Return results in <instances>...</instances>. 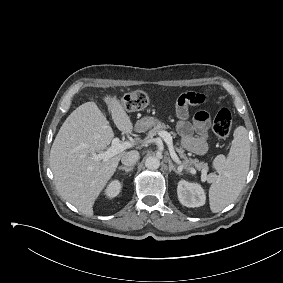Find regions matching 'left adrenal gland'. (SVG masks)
Returning <instances> with one entry per match:
<instances>
[{
  "instance_id": "obj_1",
  "label": "left adrenal gland",
  "mask_w": 283,
  "mask_h": 283,
  "mask_svg": "<svg viewBox=\"0 0 283 283\" xmlns=\"http://www.w3.org/2000/svg\"><path fill=\"white\" fill-rule=\"evenodd\" d=\"M167 161H168V166H169V172L174 171L176 174L182 175L181 171H180V170H177V169L175 168V166L173 165V163H172V161H171L170 158H168Z\"/></svg>"
}]
</instances>
